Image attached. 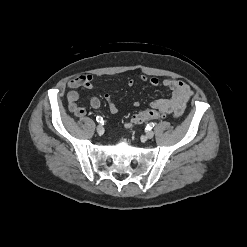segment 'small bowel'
I'll list each match as a JSON object with an SVG mask.
<instances>
[{
  "label": "small bowel",
  "mask_w": 247,
  "mask_h": 247,
  "mask_svg": "<svg viewBox=\"0 0 247 247\" xmlns=\"http://www.w3.org/2000/svg\"><path fill=\"white\" fill-rule=\"evenodd\" d=\"M140 81L148 82L151 86H158L160 84V80L158 78H149L145 75H142L140 77ZM134 84L135 81L133 79H130L128 81L129 86H133ZM162 84L171 90V97L168 99L154 100L151 102L150 106L153 109L158 110L163 115H173L175 117L181 116L187 106L189 99L193 94L191 87L184 81L174 79H165L162 81ZM67 86L69 88L66 96L68 102V109L76 117L85 116V108L77 104V100L79 98V93L77 89L80 87L92 89L94 86L93 77L89 74L76 76L68 81ZM104 97L111 113H118L119 109L115 104L112 96L110 94H105ZM100 105L101 101L97 96H92L90 98V106L93 109H98ZM133 105L135 107H138L140 105V102L135 100L133 102Z\"/></svg>",
  "instance_id": "c3829d8e"
}]
</instances>
